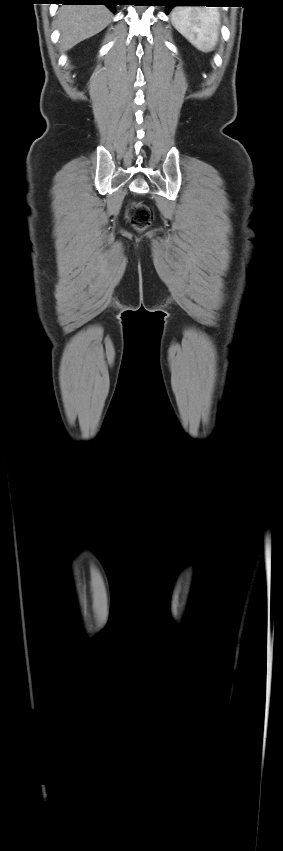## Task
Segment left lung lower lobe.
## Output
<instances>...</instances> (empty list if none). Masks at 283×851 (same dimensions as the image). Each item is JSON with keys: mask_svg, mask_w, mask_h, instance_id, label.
I'll return each instance as SVG.
<instances>
[{"mask_svg": "<svg viewBox=\"0 0 283 851\" xmlns=\"http://www.w3.org/2000/svg\"><path fill=\"white\" fill-rule=\"evenodd\" d=\"M222 2H224V1H222V0H162L163 5L167 6L166 13H169V11L174 6L198 5V6L208 7V6H214V4H219V3H222Z\"/></svg>", "mask_w": 283, "mask_h": 851, "instance_id": "0a47b994", "label": "left lung lower lobe"}]
</instances>
